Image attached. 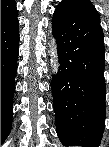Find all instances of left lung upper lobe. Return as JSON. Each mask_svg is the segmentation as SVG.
I'll return each mask as SVG.
<instances>
[{
  "label": "left lung upper lobe",
  "mask_w": 109,
  "mask_h": 147,
  "mask_svg": "<svg viewBox=\"0 0 109 147\" xmlns=\"http://www.w3.org/2000/svg\"><path fill=\"white\" fill-rule=\"evenodd\" d=\"M61 3H66L100 22V16L89 0H63ZM67 81L70 86H75L77 85V76L71 74L68 76Z\"/></svg>",
  "instance_id": "obj_1"
}]
</instances>
